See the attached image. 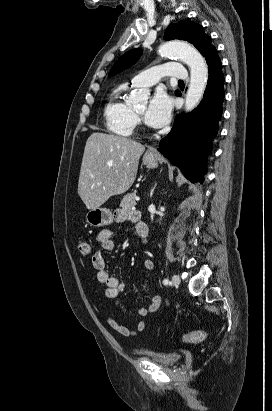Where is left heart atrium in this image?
Segmentation results:
<instances>
[{"label": "left heart atrium", "instance_id": "left-heart-atrium-1", "mask_svg": "<svg viewBox=\"0 0 272 411\" xmlns=\"http://www.w3.org/2000/svg\"><path fill=\"white\" fill-rule=\"evenodd\" d=\"M171 111L170 97L164 91L159 90L153 95L146 109L145 123L153 128H161L169 122Z\"/></svg>", "mask_w": 272, "mask_h": 411}]
</instances>
